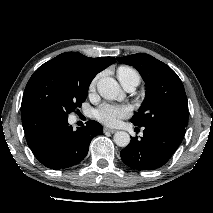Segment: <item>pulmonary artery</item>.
Returning <instances> with one entry per match:
<instances>
[{"instance_id": "pulmonary-artery-1", "label": "pulmonary artery", "mask_w": 213, "mask_h": 213, "mask_svg": "<svg viewBox=\"0 0 213 213\" xmlns=\"http://www.w3.org/2000/svg\"><path fill=\"white\" fill-rule=\"evenodd\" d=\"M120 82H121V85L123 86V88L126 91L132 92L137 87V85L139 83V78H137V77H128L126 79L121 80Z\"/></svg>"}]
</instances>
